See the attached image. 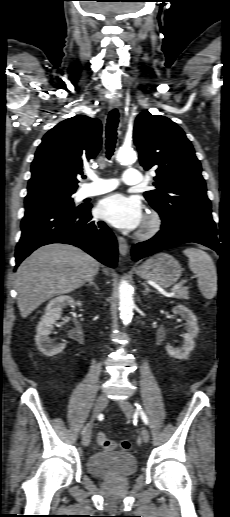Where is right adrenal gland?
<instances>
[{"instance_id":"2a0ac1e0","label":"right adrenal gland","mask_w":230,"mask_h":517,"mask_svg":"<svg viewBox=\"0 0 230 517\" xmlns=\"http://www.w3.org/2000/svg\"><path fill=\"white\" fill-rule=\"evenodd\" d=\"M94 280H95V277H93V278L89 281V283H88V284H86V286L92 285V286H94V287H95V289H96V290H99V287H98V285L94 282Z\"/></svg>"}]
</instances>
